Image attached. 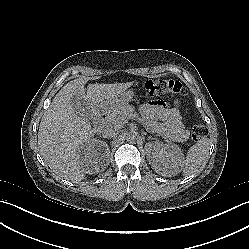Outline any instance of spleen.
I'll list each match as a JSON object with an SVG mask.
<instances>
[{
	"instance_id": "1",
	"label": "spleen",
	"mask_w": 249,
	"mask_h": 249,
	"mask_svg": "<svg viewBox=\"0 0 249 249\" xmlns=\"http://www.w3.org/2000/svg\"><path fill=\"white\" fill-rule=\"evenodd\" d=\"M209 146V142L196 143L188 152L185 159L181 161L178 157L172 156L174 163H185V169H196L203 164L206 155V149ZM178 161V162H177Z\"/></svg>"
}]
</instances>
